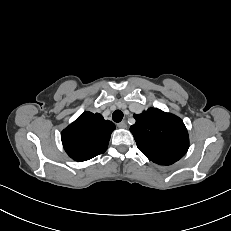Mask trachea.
Here are the masks:
<instances>
[{"instance_id":"obj_1","label":"trachea","mask_w":231,"mask_h":231,"mask_svg":"<svg viewBox=\"0 0 231 231\" xmlns=\"http://www.w3.org/2000/svg\"><path fill=\"white\" fill-rule=\"evenodd\" d=\"M112 119L114 122H120L123 119V112L120 110H116L112 114Z\"/></svg>"}]
</instances>
